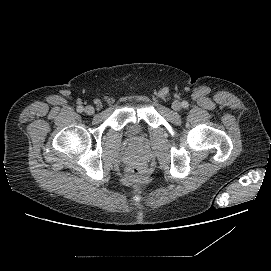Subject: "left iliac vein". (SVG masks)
Segmentation results:
<instances>
[{"label":"left iliac vein","mask_w":271,"mask_h":271,"mask_svg":"<svg viewBox=\"0 0 271 271\" xmlns=\"http://www.w3.org/2000/svg\"><path fill=\"white\" fill-rule=\"evenodd\" d=\"M182 107V104L179 102V101H174L172 103V108L175 110V111H178L180 110Z\"/></svg>","instance_id":"1"}]
</instances>
